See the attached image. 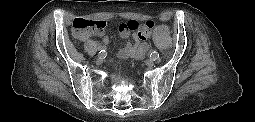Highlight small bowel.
Here are the masks:
<instances>
[{"mask_svg": "<svg viewBox=\"0 0 255 122\" xmlns=\"http://www.w3.org/2000/svg\"><path fill=\"white\" fill-rule=\"evenodd\" d=\"M119 34L122 38H127L130 34V31L125 27L124 24L120 25ZM94 35L101 36L103 38V43L108 44L109 43V37L107 34H105L103 31H88L84 34L83 39L91 38ZM135 42L134 43H127L122 48L118 50V56L122 59L133 57V58H140L144 55V53L147 51L149 44L147 42V39L149 38V35L145 37L144 39H141L139 37L138 32L134 33L133 35ZM82 40V38H81Z\"/></svg>", "mask_w": 255, "mask_h": 122, "instance_id": "1", "label": "small bowel"}]
</instances>
